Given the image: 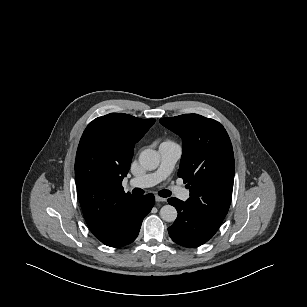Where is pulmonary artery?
<instances>
[{"mask_svg": "<svg viewBox=\"0 0 307 307\" xmlns=\"http://www.w3.org/2000/svg\"><path fill=\"white\" fill-rule=\"evenodd\" d=\"M158 152L160 156V164L157 170L140 177L132 178L129 181L131 186L147 188L166 179L172 173L176 162L181 157L182 148L175 142L164 141L160 144ZM174 191L176 196L181 200L185 201L189 198L190 193L188 190L174 187Z\"/></svg>", "mask_w": 307, "mask_h": 307, "instance_id": "e3ab8cb5", "label": "pulmonary artery"}]
</instances>
